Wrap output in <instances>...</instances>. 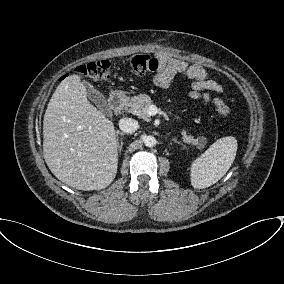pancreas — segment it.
<instances>
[{
    "label": "pancreas",
    "mask_w": 284,
    "mask_h": 284,
    "mask_svg": "<svg viewBox=\"0 0 284 284\" xmlns=\"http://www.w3.org/2000/svg\"><path fill=\"white\" fill-rule=\"evenodd\" d=\"M151 105H153V101L150 96L147 94H140L129 98L126 103V108L130 113L136 115L138 118L148 121L150 120L148 108ZM182 136L185 143L193 144L198 149H203L207 143V139L205 137L194 138L191 135H187L186 132H183Z\"/></svg>",
    "instance_id": "cf45deb5"
}]
</instances>
